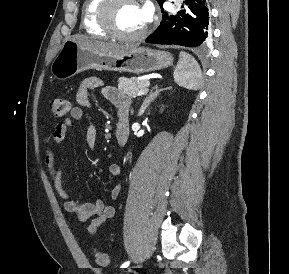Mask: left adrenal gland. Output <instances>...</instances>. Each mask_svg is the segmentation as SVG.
<instances>
[{
    "label": "left adrenal gland",
    "mask_w": 289,
    "mask_h": 274,
    "mask_svg": "<svg viewBox=\"0 0 289 274\" xmlns=\"http://www.w3.org/2000/svg\"><path fill=\"white\" fill-rule=\"evenodd\" d=\"M170 89L171 87L159 89L157 85L154 86L152 90L150 91V93L144 99L138 115L141 116L142 114H144L145 110L150 106L151 102H153L156 99V97L159 95L160 92L164 90H170Z\"/></svg>",
    "instance_id": "a2214340"
}]
</instances>
